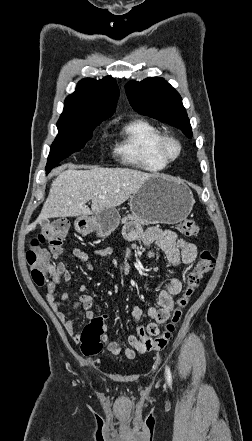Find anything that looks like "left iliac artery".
Returning <instances> with one entry per match:
<instances>
[{
  "instance_id": "left-iliac-artery-1",
  "label": "left iliac artery",
  "mask_w": 252,
  "mask_h": 441,
  "mask_svg": "<svg viewBox=\"0 0 252 441\" xmlns=\"http://www.w3.org/2000/svg\"><path fill=\"white\" fill-rule=\"evenodd\" d=\"M166 375H167L168 382L171 383L172 382V377H171V372H170V368L169 367L166 368Z\"/></svg>"
}]
</instances>
